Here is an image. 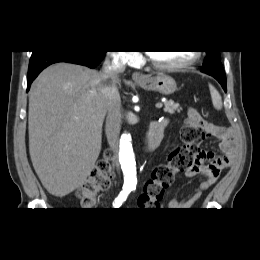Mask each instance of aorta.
<instances>
[{
  "label": "aorta",
  "instance_id": "obj_1",
  "mask_svg": "<svg viewBox=\"0 0 260 260\" xmlns=\"http://www.w3.org/2000/svg\"><path fill=\"white\" fill-rule=\"evenodd\" d=\"M119 162L124 174V182L134 185L136 179V162L132 148L131 136L127 133L122 134L119 144Z\"/></svg>",
  "mask_w": 260,
  "mask_h": 260
}]
</instances>
